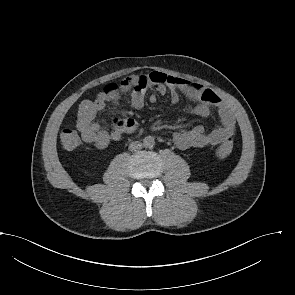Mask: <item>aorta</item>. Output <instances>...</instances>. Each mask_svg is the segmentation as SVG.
<instances>
[{
  "mask_svg": "<svg viewBox=\"0 0 295 295\" xmlns=\"http://www.w3.org/2000/svg\"><path fill=\"white\" fill-rule=\"evenodd\" d=\"M154 144H155V141L152 136H147L143 139V146L146 148L153 147Z\"/></svg>",
  "mask_w": 295,
  "mask_h": 295,
  "instance_id": "762f6f07",
  "label": "aorta"
}]
</instances>
